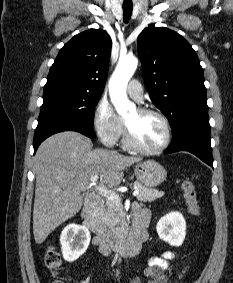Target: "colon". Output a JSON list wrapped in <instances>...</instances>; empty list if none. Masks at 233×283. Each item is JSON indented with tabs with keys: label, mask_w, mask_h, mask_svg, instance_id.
<instances>
[{
	"label": "colon",
	"mask_w": 233,
	"mask_h": 283,
	"mask_svg": "<svg viewBox=\"0 0 233 283\" xmlns=\"http://www.w3.org/2000/svg\"><path fill=\"white\" fill-rule=\"evenodd\" d=\"M181 189L187 202V207L192 215H198L200 213V206L197 200V193L194 183L191 180H184L181 184ZM45 264L53 272H57L62 264L60 254L52 247H50L45 256ZM189 268V265L183 270L181 278L185 275ZM54 283H62L60 280Z\"/></svg>",
	"instance_id": "5ec220e1"
}]
</instances>
